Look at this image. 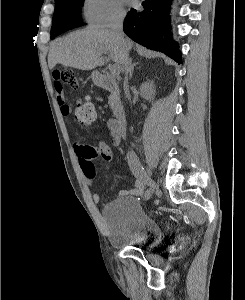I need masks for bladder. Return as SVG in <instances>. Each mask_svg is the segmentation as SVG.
Wrapping results in <instances>:
<instances>
[{"instance_id": "bladder-1", "label": "bladder", "mask_w": 245, "mask_h": 300, "mask_svg": "<svg viewBox=\"0 0 245 300\" xmlns=\"http://www.w3.org/2000/svg\"><path fill=\"white\" fill-rule=\"evenodd\" d=\"M109 242L114 247L154 245L163 238V229L140 204L138 198L121 195L102 208Z\"/></svg>"}]
</instances>
